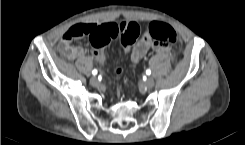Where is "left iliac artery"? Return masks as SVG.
Returning a JSON list of instances; mask_svg holds the SVG:
<instances>
[{"mask_svg":"<svg viewBox=\"0 0 245 145\" xmlns=\"http://www.w3.org/2000/svg\"><path fill=\"white\" fill-rule=\"evenodd\" d=\"M146 74H147V75H150V74H151V70H150V69H147V70H146Z\"/></svg>","mask_w":245,"mask_h":145,"instance_id":"left-iliac-artery-1","label":"left iliac artery"}]
</instances>
